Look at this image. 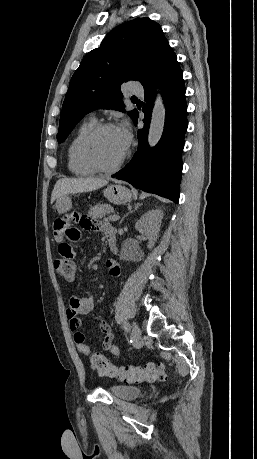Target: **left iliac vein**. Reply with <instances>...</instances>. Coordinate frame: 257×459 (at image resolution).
Listing matches in <instances>:
<instances>
[{"label": "left iliac vein", "instance_id": "1", "mask_svg": "<svg viewBox=\"0 0 257 459\" xmlns=\"http://www.w3.org/2000/svg\"><path fill=\"white\" fill-rule=\"evenodd\" d=\"M131 337L134 341H138L141 338L140 327L135 322L131 326Z\"/></svg>", "mask_w": 257, "mask_h": 459}]
</instances>
